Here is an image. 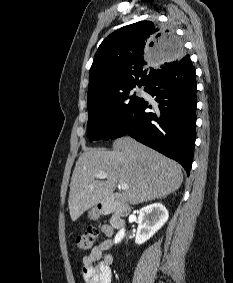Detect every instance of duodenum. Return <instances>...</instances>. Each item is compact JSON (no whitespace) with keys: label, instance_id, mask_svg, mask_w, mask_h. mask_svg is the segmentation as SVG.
<instances>
[{"label":"duodenum","instance_id":"duodenum-1","mask_svg":"<svg viewBox=\"0 0 233 283\" xmlns=\"http://www.w3.org/2000/svg\"><path fill=\"white\" fill-rule=\"evenodd\" d=\"M99 208L101 213L110 215V226L112 229L124 227L125 217L130 213V208L121 196H111Z\"/></svg>","mask_w":233,"mask_h":283}]
</instances>
